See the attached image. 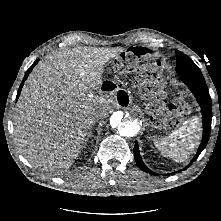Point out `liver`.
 Wrapping results in <instances>:
<instances>
[{"instance_id": "1", "label": "liver", "mask_w": 221, "mask_h": 221, "mask_svg": "<svg viewBox=\"0 0 221 221\" xmlns=\"http://www.w3.org/2000/svg\"><path fill=\"white\" fill-rule=\"evenodd\" d=\"M123 48L78 47L47 56L29 75L18 100L14 134L24 157L45 168H69L110 100L99 90L105 65ZM101 114L100 118H95Z\"/></svg>"}]
</instances>
